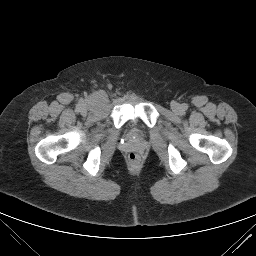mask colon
I'll return each mask as SVG.
<instances>
[{"label":"colon","instance_id":"5ec220e1","mask_svg":"<svg viewBox=\"0 0 256 256\" xmlns=\"http://www.w3.org/2000/svg\"><path fill=\"white\" fill-rule=\"evenodd\" d=\"M128 160L131 164L136 165L140 162V156L136 153H130L128 156Z\"/></svg>","mask_w":256,"mask_h":256}]
</instances>
